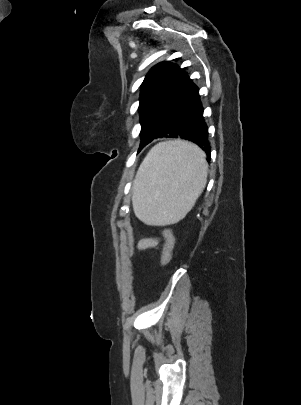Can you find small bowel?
Here are the masks:
<instances>
[{
    "instance_id": "small-bowel-1",
    "label": "small bowel",
    "mask_w": 301,
    "mask_h": 405,
    "mask_svg": "<svg viewBox=\"0 0 301 405\" xmlns=\"http://www.w3.org/2000/svg\"><path fill=\"white\" fill-rule=\"evenodd\" d=\"M158 247V240L156 238H144L141 239L138 243L139 250H145L150 248H157Z\"/></svg>"
}]
</instances>
